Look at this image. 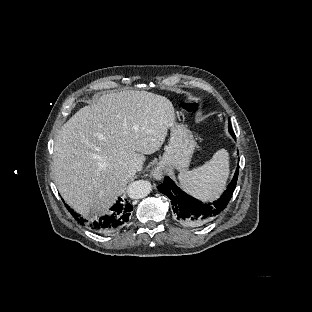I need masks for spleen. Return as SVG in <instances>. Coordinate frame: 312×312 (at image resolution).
Returning <instances> with one entry per match:
<instances>
[{"label":"spleen","instance_id":"3e777b00","mask_svg":"<svg viewBox=\"0 0 312 312\" xmlns=\"http://www.w3.org/2000/svg\"><path fill=\"white\" fill-rule=\"evenodd\" d=\"M229 173V153L220 149L204 165L180 172L178 179L185 192L202 202H212L225 190Z\"/></svg>","mask_w":312,"mask_h":312}]
</instances>
